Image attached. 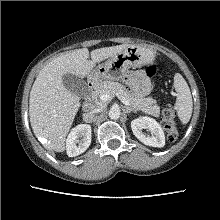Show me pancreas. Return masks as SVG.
Here are the masks:
<instances>
[{"instance_id":"obj_1","label":"pancreas","mask_w":220,"mask_h":220,"mask_svg":"<svg viewBox=\"0 0 220 220\" xmlns=\"http://www.w3.org/2000/svg\"><path fill=\"white\" fill-rule=\"evenodd\" d=\"M104 93H109L113 97L117 93H121L129 101L132 108L154 117H159L160 115V107L152 97H144L136 91H127L125 86L118 82L103 81L95 90V97L100 98ZM98 104L104 105L101 101Z\"/></svg>"}]
</instances>
